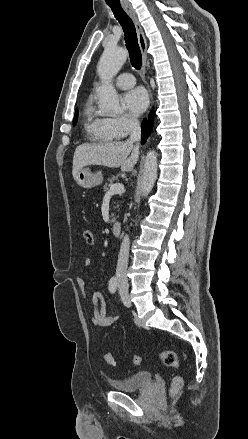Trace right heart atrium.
<instances>
[{
  "label": "right heart atrium",
  "mask_w": 248,
  "mask_h": 439,
  "mask_svg": "<svg viewBox=\"0 0 248 439\" xmlns=\"http://www.w3.org/2000/svg\"><path fill=\"white\" fill-rule=\"evenodd\" d=\"M109 128L119 137H125L138 126V120L130 114H122L107 118Z\"/></svg>",
  "instance_id": "1"
}]
</instances>
